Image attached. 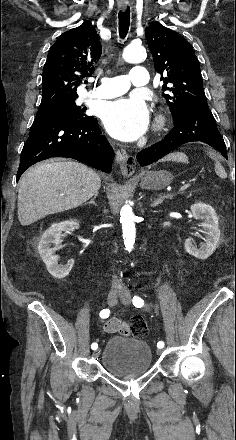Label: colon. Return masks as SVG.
Masks as SVG:
<instances>
[{
  "mask_svg": "<svg viewBox=\"0 0 236 440\" xmlns=\"http://www.w3.org/2000/svg\"><path fill=\"white\" fill-rule=\"evenodd\" d=\"M131 329L129 335H133L137 338H144L148 335V326L145 320L141 316H135L131 320Z\"/></svg>",
  "mask_w": 236,
  "mask_h": 440,
  "instance_id": "obj_1",
  "label": "colon"
}]
</instances>
